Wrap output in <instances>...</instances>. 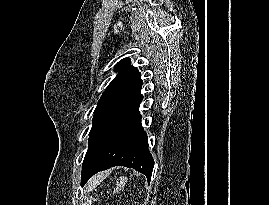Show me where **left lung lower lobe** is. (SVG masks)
Listing matches in <instances>:
<instances>
[{
    "label": "left lung lower lobe",
    "instance_id": "1",
    "mask_svg": "<svg viewBox=\"0 0 269 205\" xmlns=\"http://www.w3.org/2000/svg\"><path fill=\"white\" fill-rule=\"evenodd\" d=\"M140 95L124 110L110 118L89 139L82 165L81 185L99 171L125 166L151 179L154 160L148 150L147 134L140 123Z\"/></svg>",
    "mask_w": 269,
    "mask_h": 205
}]
</instances>
